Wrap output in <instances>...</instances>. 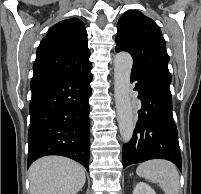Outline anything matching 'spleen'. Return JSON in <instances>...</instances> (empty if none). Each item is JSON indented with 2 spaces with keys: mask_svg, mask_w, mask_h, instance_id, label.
<instances>
[{
  "mask_svg": "<svg viewBox=\"0 0 201 194\" xmlns=\"http://www.w3.org/2000/svg\"><path fill=\"white\" fill-rule=\"evenodd\" d=\"M139 177L159 183L165 194H179V174L176 166L166 160H151L140 164Z\"/></svg>",
  "mask_w": 201,
  "mask_h": 194,
  "instance_id": "spleen-1",
  "label": "spleen"
}]
</instances>
